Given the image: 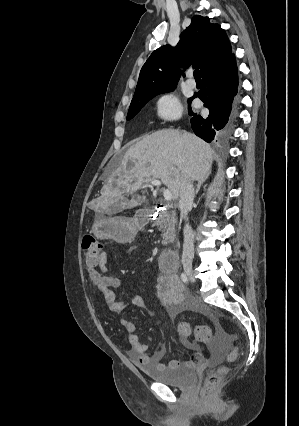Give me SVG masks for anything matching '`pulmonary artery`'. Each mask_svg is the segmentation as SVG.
<instances>
[{"label": "pulmonary artery", "instance_id": "pulmonary-artery-1", "mask_svg": "<svg viewBox=\"0 0 299 426\" xmlns=\"http://www.w3.org/2000/svg\"><path fill=\"white\" fill-rule=\"evenodd\" d=\"M187 85H188L190 88H195V87H196V82H195V80L192 78V76H191V75L189 76V78H188V80H187Z\"/></svg>", "mask_w": 299, "mask_h": 426}]
</instances>
